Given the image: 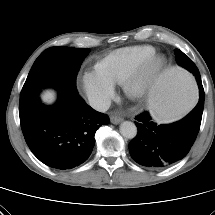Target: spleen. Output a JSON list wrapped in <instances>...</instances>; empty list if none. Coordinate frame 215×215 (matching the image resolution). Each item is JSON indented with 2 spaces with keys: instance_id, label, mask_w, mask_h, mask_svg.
<instances>
[{
  "instance_id": "3e777b00",
  "label": "spleen",
  "mask_w": 215,
  "mask_h": 215,
  "mask_svg": "<svg viewBox=\"0 0 215 215\" xmlns=\"http://www.w3.org/2000/svg\"><path fill=\"white\" fill-rule=\"evenodd\" d=\"M197 78L180 68L162 73L149 98L150 109L159 121H171L191 110L197 102Z\"/></svg>"
}]
</instances>
